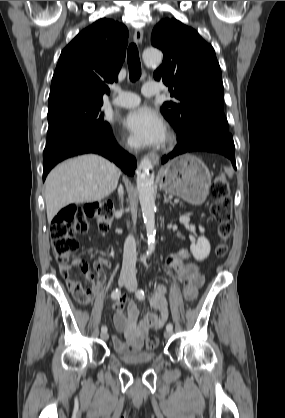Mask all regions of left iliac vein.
Instances as JSON below:
<instances>
[{
  "label": "left iliac vein",
  "instance_id": "left-iliac-vein-1",
  "mask_svg": "<svg viewBox=\"0 0 285 418\" xmlns=\"http://www.w3.org/2000/svg\"><path fill=\"white\" fill-rule=\"evenodd\" d=\"M126 289L129 292H133L136 290L137 288V281L135 278H130V280L125 284ZM172 336V330H166L164 332V337L165 338H170Z\"/></svg>",
  "mask_w": 285,
  "mask_h": 418
}]
</instances>
